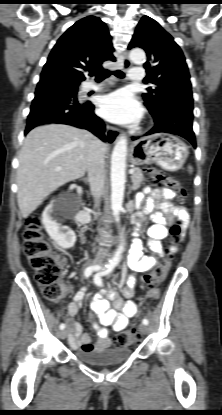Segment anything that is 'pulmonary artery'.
I'll use <instances>...</instances> for the list:
<instances>
[{"mask_svg": "<svg viewBox=\"0 0 222 415\" xmlns=\"http://www.w3.org/2000/svg\"><path fill=\"white\" fill-rule=\"evenodd\" d=\"M144 77H145V71L142 67H133L129 71V79L132 82H140L144 79ZM98 89H100L99 85H94L91 83H86L82 87L83 92H88L91 90H98Z\"/></svg>", "mask_w": 222, "mask_h": 415, "instance_id": "pulmonary-artery-1", "label": "pulmonary artery"}]
</instances>
